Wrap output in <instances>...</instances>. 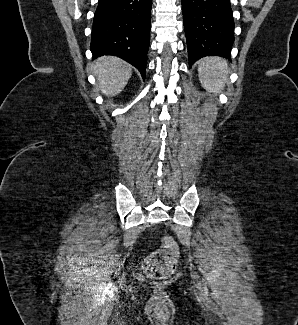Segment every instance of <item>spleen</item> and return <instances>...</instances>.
Returning <instances> with one entry per match:
<instances>
[{"mask_svg":"<svg viewBox=\"0 0 298 325\" xmlns=\"http://www.w3.org/2000/svg\"><path fill=\"white\" fill-rule=\"evenodd\" d=\"M199 80L208 92H221L227 80L228 64L221 56H206L198 64Z\"/></svg>","mask_w":298,"mask_h":325,"instance_id":"spleen-1","label":"spleen"}]
</instances>
